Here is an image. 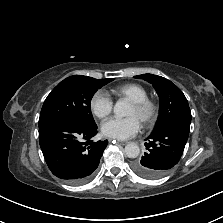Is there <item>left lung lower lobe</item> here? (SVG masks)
Here are the masks:
<instances>
[{"instance_id": "0a47b994", "label": "left lung lower lobe", "mask_w": 223, "mask_h": 223, "mask_svg": "<svg viewBox=\"0 0 223 223\" xmlns=\"http://www.w3.org/2000/svg\"><path fill=\"white\" fill-rule=\"evenodd\" d=\"M189 130L174 124L151 133L145 143L147 151L132 165L135 173L147 179H158L167 174L179 162Z\"/></svg>"}]
</instances>
